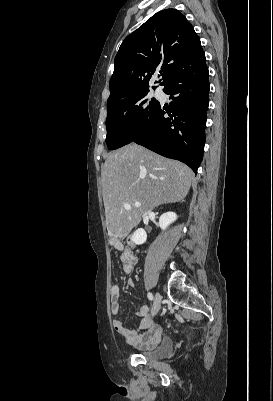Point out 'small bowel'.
<instances>
[{"instance_id": "1", "label": "small bowel", "mask_w": 273, "mask_h": 401, "mask_svg": "<svg viewBox=\"0 0 273 401\" xmlns=\"http://www.w3.org/2000/svg\"><path fill=\"white\" fill-rule=\"evenodd\" d=\"M112 246L119 252L123 271L127 274L132 273L137 263L134 253L120 241L112 242ZM129 286H134L132 280L128 281ZM110 310L114 316H120L122 312L120 304V286L112 284L110 287ZM139 322L132 328L125 327L120 318H115L112 322L113 328L128 344L145 349H154L162 340V328L158 322L149 315V308L142 305L136 312Z\"/></svg>"}]
</instances>
